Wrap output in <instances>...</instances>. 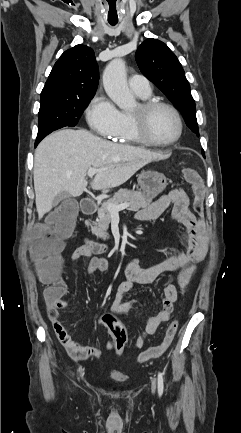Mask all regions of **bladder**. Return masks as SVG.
<instances>
[{
	"mask_svg": "<svg viewBox=\"0 0 241 433\" xmlns=\"http://www.w3.org/2000/svg\"><path fill=\"white\" fill-rule=\"evenodd\" d=\"M111 378L118 383H124L126 381L123 375L116 372L111 373Z\"/></svg>",
	"mask_w": 241,
	"mask_h": 433,
	"instance_id": "31cf9c89",
	"label": "bladder"
}]
</instances>
